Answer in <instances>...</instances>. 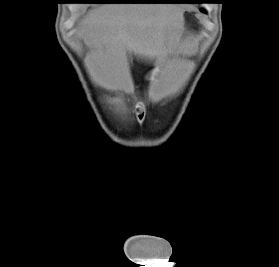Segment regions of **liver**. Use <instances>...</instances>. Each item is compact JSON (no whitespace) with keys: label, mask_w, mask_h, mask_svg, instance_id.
<instances>
[{"label":"liver","mask_w":279,"mask_h":267,"mask_svg":"<svg viewBox=\"0 0 279 267\" xmlns=\"http://www.w3.org/2000/svg\"><path fill=\"white\" fill-rule=\"evenodd\" d=\"M183 12L155 3L102 5L82 20L79 33L92 50V68L105 88L121 87L129 76L128 57L152 61L177 48Z\"/></svg>","instance_id":"liver-1"}]
</instances>
